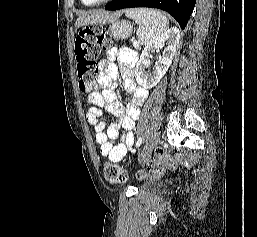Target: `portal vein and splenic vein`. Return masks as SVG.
Instances as JSON below:
<instances>
[{"label": "portal vein and splenic vein", "mask_w": 257, "mask_h": 237, "mask_svg": "<svg viewBox=\"0 0 257 237\" xmlns=\"http://www.w3.org/2000/svg\"><path fill=\"white\" fill-rule=\"evenodd\" d=\"M139 44H138V42L137 41H133V46L134 47H137Z\"/></svg>", "instance_id": "1"}]
</instances>
